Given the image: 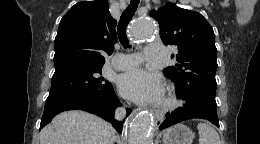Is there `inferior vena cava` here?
<instances>
[{"instance_id":"1","label":"inferior vena cava","mask_w":260,"mask_h":144,"mask_svg":"<svg viewBox=\"0 0 260 144\" xmlns=\"http://www.w3.org/2000/svg\"><path fill=\"white\" fill-rule=\"evenodd\" d=\"M125 115H126L125 108L119 107V108L116 109V111H115V119L121 120V119H123L125 117Z\"/></svg>"}]
</instances>
